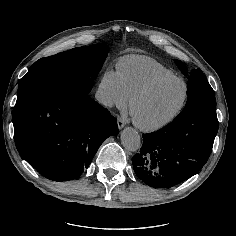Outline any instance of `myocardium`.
I'll use <instances>...</instances> for the list:
<instances>
[{"mask_svg":"<svg viewBox=\"0 0 236 236\" xmlns=\"http://www.w3.org/2000/svg\"><path fill=\"white\" fill-rule=\"evenodd\" d=\"M169 81H180L184 85L183 97H182V100H181L179 106L177 107V109L171 115H169L167 118H165L159 122L152 123V124H145V123L140 122L138 119H136V117L133 114V108H134L135 103L140 98H142L145 95H147L148 93H150L153 89H155L159 85L169 82ZM188 95H189V86H188L187 82L182 77L172 75V76H163V77L156 78V79L150 81L149 83H147L146 85H144L139 90H137L130 97L128 109H129V115H130L131 121L141 131L156 132V131L168 126L175 119H177L179 117V115L182 113V111L186 105Z\"/></svg>","mask_w":236,"mask_h":236,"instance_id":"obj_1","label":"myocardium"}]
</instances>
